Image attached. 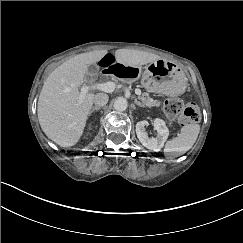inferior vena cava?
I'll return each instance as SVG.
<instances>
[{"instance_id":"1","label":"inferior vena cava","mask_w":243,"mask_h":243,"mask_svg":"<svg viewBox=\"0 0 243 243\" xmlns=\"http://www.w3.org/2000/svg\"><path fill=\"white\" fill-rule=\"evenodd\" d=\"M108 100H109V97H108L107 94H105V93H98V94H96L94 96L93 102H94V104L96 106L100 107V106L106 105Z\"/></svg>"}]
</instances>
